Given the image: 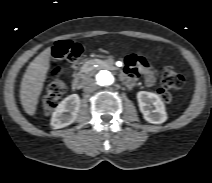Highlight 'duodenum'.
<instances>
[{
	"instance_id": "obj_1",
	"label": "duodenum",
	"mask_w": 212,
	"mask_h": 183,
	"mask_svg": "<svg viewBox=\"0 0 212 183\" xmlns=\"http://www.w3.org/2000/svg\"><path fill=\"white\" fill-rule=\"evenodd\" d=\"M89 77V70L88 69H83L80 72L76 74L73 80V85L76 89H81Z\"/></svg>"
}]
</instances>
